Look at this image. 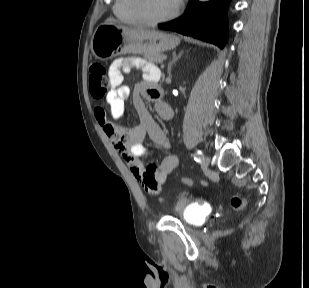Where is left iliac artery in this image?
<instances>
[{
    "label": "left iliac artery",
    "mask_w": 309,
    "mask_h": 288,
    "mask_svg": "<svg viewBox=\"0 0 309 288\" xmlns=\"http://www.w3.org/2000/svg\"><path fill=\"white\" fill-rule=\"evenodd\" d=\"M193 158L196 162L201 163L204 156L201 150H197L194 154H193Z\"/></svg>",
    "instance_id": "44dca946"
}]
</instances>
